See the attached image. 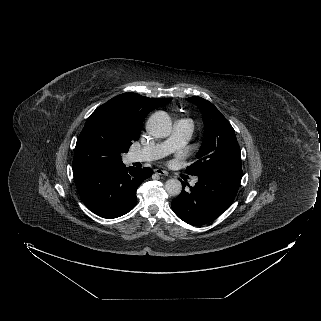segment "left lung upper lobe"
I'll use <instances>...</instances> for the list:
<instances>
[{
	"label": "left lung upper lobe",
	"instance_id": "left-lung-upper-lobe-1",
	"mask_svg": "<svg viewBox=\"0 0 321 321\" xmlns=\"http://www.w3.org/2000/svg\"><path fill=\"white\" fill-rule=\"evenodd\" d=\"M186 99L199 107L204 122L203 144L187 173L199 176L217 170H242L240 148L231 124L211 102L197 96Z\"/></svg>",
	"mask_w": 321,
	"mask_h": 321
}]
</instances>
